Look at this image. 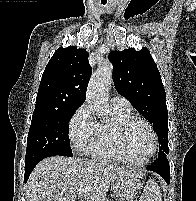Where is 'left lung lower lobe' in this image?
Segmentation results:
<instances>
[{"mask_svg":"<svg viewBox=\"0 0 196 201\" xmlns=\"http://www.w3.org/2000/svg\"><path fill=\"white\" fill-rule=\"evenodd\" d=\"M148 170L158 173L168 184L170 183V167L166 156L159 157Z\"/></svg>","mask_w":196,"mask_h":201,"instance_id":"0a47b994","label":"left lung lower lobe"}]
</instances>
